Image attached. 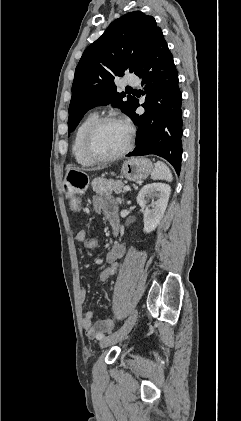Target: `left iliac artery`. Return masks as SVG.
I'll return each instance as SVG.
<instances>
[{"instance_id": "obj_1", "label": "left iliac artery", "mask_w": 241, "mask_h": 421, "mask_svg": "<svg viewBox=\"0 0 241 421\" xmlns=\"http://www.w3.org/2000/svg\"><path fill=\"white\" fill-rule=\"evenodd\" d=\"M99 338H100V339H102V338H104V337H103V336H100Z\"/></svg>"}]
</instances>
